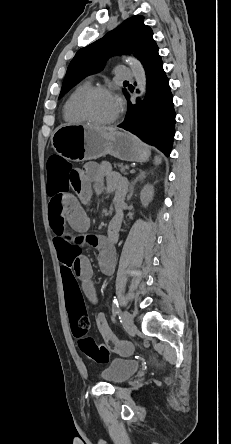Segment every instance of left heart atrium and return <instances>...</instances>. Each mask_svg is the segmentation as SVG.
Masks as SVG:
<instances>
[{
	"instance_id": "left-heart-atrium-1",
	"label": "left heart atrium",
	"mask_w": 231,
	"mask_h": 444,
	"mask_svg": "<svg viewBox=\"0 0 231 444\" xmlns=\"http://www.w3.org/2000/svg\"><path fill=\"white\" fill-rule=\"evenodd\" d=\"M115 98H116V97H115ZM116 101H117V103H118V105H119V107H120V105H121L120 100H119L118 98H116Z\"/></svg>"
}]
</instances>
